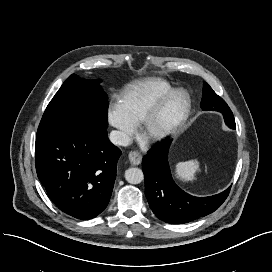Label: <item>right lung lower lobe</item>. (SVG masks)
Returning <instances> with one entry per match:
<instances>
[{"label": "right lung lower lobe", "instance_id": "1", "mask_svg": "<svg viewBox=\"0 0 272 272\" xmlns=\"http://www.w3.org/2000/svg\"><path fill=\"white\" fill-rule=\"evenodd\" d=\"M120 155L106 129L75 125L36 134L38 178L52 202L78 219L94 218L106 208Z\"/></svg>", "mask_w": 272, "mask_h": 272}]
</instances>
